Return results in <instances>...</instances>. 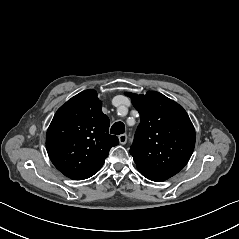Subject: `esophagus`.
Returning <instances> with one entry per match:
<instances>
[{
    "mask_svg": "<svg viewBox=\"0 0 239 239\" xmlns=\"http://www.w3.org/2000/svg\"><path fill=\"white\" fill-rule=\"evenodd\" d=\"M119 142L121 143V144H126V142H127V135L126 134H122V135H119Z\"/></svg>",
    "mask_w": 239,
    "mask_h": 239,
    "instance_id": "obj_1",
    "label": "esophagus"
}]
</instances>
